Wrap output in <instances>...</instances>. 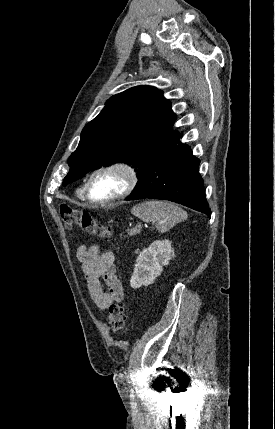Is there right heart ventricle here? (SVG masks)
I'll use <instances>...</instances> for the list:
<instances>
[{
  "label": "right heart ventricle",
  "instance_id": "1",
  "mask_svg": "<svg viewBox=\"0 0 275 429\" xmlns=\"http://www.w3.org/2000/svg\"><path fill=\"white\" fill-rule=\"evenodd\" d=\"M78 195L79 197L83 198L84 197V186H81L78 190Z\"/></svg>",
  "mask_w": 275,
  "mask_h": 429
}]
</instances>
